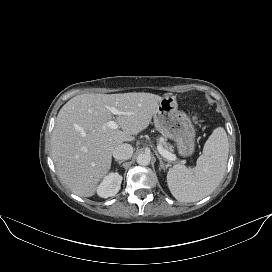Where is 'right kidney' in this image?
<instances>
[{
    "label": "right kidney",
    "instance_id": "1",
    "mask_svg": "<svg viewBox=\"0 0 272 272\" xmlns=\"http://www.w3.org/2000/svg\"><path fill=\"white\" fill-rule=\"evenodd\" d=\"M122 176L117 172L107 175L97 188V194L102 198H108L117 194L121 188Z\"/></svg>",
    "mask_w": 272,
    "mask_h": 272
}]
</instances>
